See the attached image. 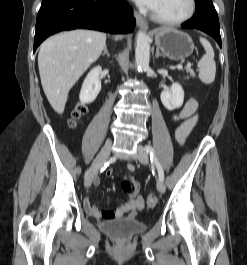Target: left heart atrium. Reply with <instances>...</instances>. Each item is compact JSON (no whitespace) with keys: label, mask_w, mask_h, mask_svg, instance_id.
<instances>
[{"label":"left heart atrium","mask_w":247,"mask_h":265,"mask_svg":"<svg viewBox=\"0 0 247 265\" xmlns=\"http://www.w3.org/2000/svg\"><path fill=\"white\" fill-rule=\"evenodd\" d=\"M134 1L141 7L152 9L157 0H134Z\"/></svg>","instance_id":"39dd6f15"}]
</instances>
